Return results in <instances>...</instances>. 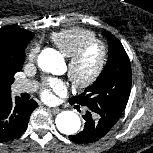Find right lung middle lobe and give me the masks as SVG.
Wrapping results in <instances>:
<instances>
[{"label": "right lung middle lobe", "instance_id": "dd1d6c3e", "mask_svg": "<svg viewBox=\"0 0 153 153\" xmlns=\"http://www.w3.org/2000/svg\"><path fill=\"white\" fill-rule=\"evenodd\" d=\"M24 59L25 57L14 61H0V77L7 81L9 84H12L14 82V74L20 71L23 67Z\"/></svg>", "mask_w": 153, "mask_h": 153}]
</instances>
